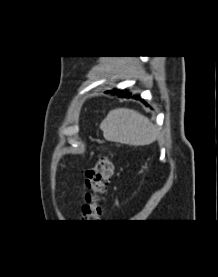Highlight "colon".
Returning <instances> with one entry per match:
<instances>
[{
	"label": "colon",
	"mask_w": 218,
	"mask_h": 277,
	"mask_svg": "<svg viewBox=\"0 0 218 277\" xmlns=\"http://www.w3.org/2000/svg\"><path fill=\"white\" fill-rule=\"evenodd\" d=\"M113 174V160L100 155L96 163L85 171V195L82 207L84 222H94L101 215L102 196L106 193Z\"/></svg>",
	"instance_id": "1"
}]
</instances>
